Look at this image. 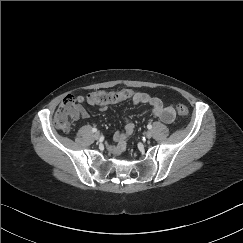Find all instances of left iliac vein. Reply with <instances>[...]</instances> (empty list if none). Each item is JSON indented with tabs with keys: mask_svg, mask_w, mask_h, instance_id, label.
Segmentation results:
<instances>
[{
	"mask_svg": "<svg viewBox=\"0 0 243 243\" xmlns=\"http://www.w3.org/2000/svg\"><path fill=\"white\" fill-rule=\"evenodd\" d=\"M152 136H153V134H152L151 131H147V132L145 133V137L148 138V139H150Z\"/></svg>",
	"mask_w": 243,
	"mask_h": 243,
	"instance_id": "left-iliac-vein-1",
	"label": "left iliac vein"
}]
</instances>
